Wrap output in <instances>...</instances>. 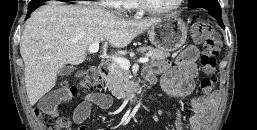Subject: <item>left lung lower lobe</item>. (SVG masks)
<instances>
[{"mask_svg": "<svg viewBox=\"0 0 257 130\" xmlns=\"http://www.w3.org/2000/svg\"><path fill=\"white\" fill-rule=\"evenodd\" d=\"M208 11L213 17L218 19V21L220 22V25L222 26V28H224L222 15H221V8H213V9H209Z\"/></svg>", "mask_w": 257, "mask_h": 130, "instance_id": "1", "label": "left lung lower lobe"}]
</instances>
